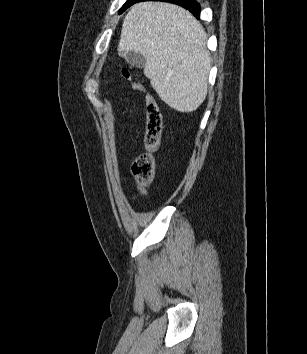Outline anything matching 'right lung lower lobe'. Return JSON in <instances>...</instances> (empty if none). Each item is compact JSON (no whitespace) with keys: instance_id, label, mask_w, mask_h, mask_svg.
Wrapping results in <instances>:
<instances>
[{"instance_id":"1","label":"right lung lower lobe","mask_w":307,"mask_h":354,"mask_svg":"<svg viewBox=\"0 0 307 354\" xmlns=\"http://www.w3.org/2000/svg\"><path fill=\"white\" fill-rule=\"evenodd\" d=\"M140 1H147V0H137V2ZM160 1L170 2V3L180 5L185 9H188L197 18H199L200 16V5L195 0H160Z\"/></svg>"}]
</instances>
